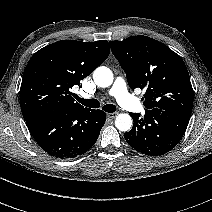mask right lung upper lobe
<instances>
[{"label":"right lung upper lobe","mask_w":212,"mask_h":212,"mask_svg":"<svg viewBox=\"0 0 212 212\" xmlns=\"http://www.w3.org/2000/svg\"><path fill=\"white\" fill-rule=\"evenodd\" d=\"M109 53L106 40H61L37 51L24 70L21 84L20 106L24 120L47 111L87 109L75 102L70 89L80 85Z\"/></svg>","instance_id":"cb5924a9"}]
</instances>
